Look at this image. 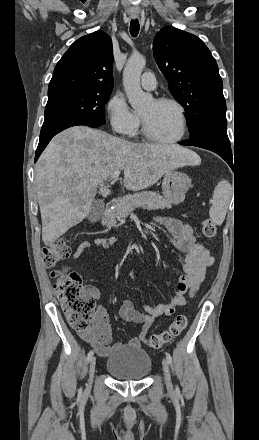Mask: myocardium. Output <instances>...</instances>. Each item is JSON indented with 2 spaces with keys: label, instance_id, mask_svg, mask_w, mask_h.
Here are the masks:
<instances>
[{
  "label": "myocardium",
  "instance_id": "f54148a6",
  "mask_svg": "<svg viewBox=\"0 0 259 440\" xmlns=\"http://www.w3.org/2000/svg\"><path fill=\"white\" fill-rule=\"evenodd\" d=\"M154 102L157 104H172L177 108L178 114H179V119H180V132L177 136L170 138V139L160 138V137L156 136L151 131V129L148 126L147 121L145 120V118L143 116H141L142 131H143L144 135L150 141L155 142V143H159V144H174V143L179 142L181 139H183V137L185 136L186 131H187V118H186L184 106L178 100H176L174 98H169V97L156 98L154 100Z\"/></svg>",
  "mask_w": 259,
  "mask_h": 440
}]
</instances>
